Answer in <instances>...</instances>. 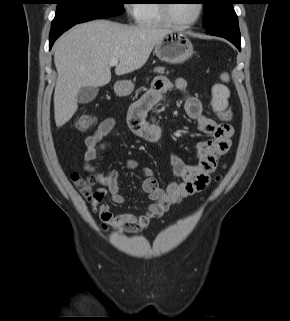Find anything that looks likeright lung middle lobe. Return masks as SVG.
I'll use <instances>...</instances> for the list:
<instances>
[{"instance_id":"1","label":"right lung middle lobe","mask_w":290,"mask_h":321,"mask_svg":"<svg viewBox=\"0 0 290 321\" xmlns=\"http://www.w3.org/2000/svg\"><path fill=\"white\" fill-rule=\"evenodd\" d=\"M124 0H56L51 27H61L122 14Z\"/></svg>"}]
</instances>
